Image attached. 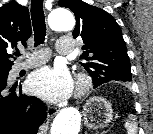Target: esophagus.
Segmentation results:
<instances>
[{"mask_svg":"<svg viewBox=\"0 0 153 134\" xmlns=\"http://www.w3.org/2000/svg\"><path fill=\"white\" fill-rule=\"evenodd\" d=\"M57 112H58V109H57V108L51 107V106H48V107H47V113H48L49 116H53V115H55Z\"/></svg>","mask_w":153,"mask_h":134,"instance_id":"esophagus-1","label":"esophagus"}]
</instances>
